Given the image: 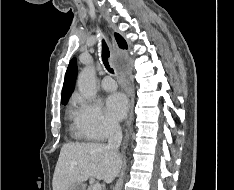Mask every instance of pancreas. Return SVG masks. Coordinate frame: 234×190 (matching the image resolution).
Here are the masks:
<instances>
[{"label":"pancreas","instance_id":"cf45deb5","mask_svg":"<svg viewBox=\"0 0 234 190\" xmlns=\"http://www.w3.org/2000/svg\"><path fill=\"white\" fill-rule=\"evenodd\" d=\"M92 187H93V186H89L87 190H92Z\"/></svg>","mask_w":234,"mask_h":190}]
</instances>
